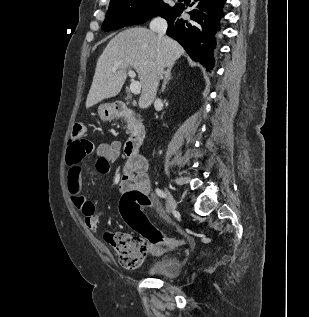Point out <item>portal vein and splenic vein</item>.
<instances>
[{
    "label": "portal vein and splenic vein",
    "instance_id": "portal-vein-and-splenic-vein-1",
    "mask_svg": "<svg viewBox=\"0 0 309 317\" xmlns=\"http://www.w3.org/2000/svg\"><path fill=\"white\" fill-rule=\"evenodd\" d=\"M121 64V62L117 63L114 67H113V71H116L117 67ZM129 76L131 78H134L136 76L135 72L133 70H129L128 72ZM130 91L137 95L140 93L141 91V83L139 81H132L130 84Z\"/></svg>",
    "mask_w": 309,
    "mask_h": 317
}]
</instances>
